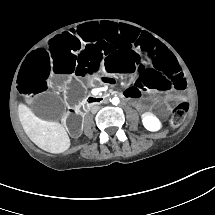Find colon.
<instances>
[{
  "instance_id": "colon-1",
  "label": "colon",
  "mask_w": 215,
  "mask_h": 215,
  "mask_svg": "<svg viewBox=\"0 0 215 215\" xmlns=\"http://www.w3.org/2000/svg\"><path fill=\"white\" fill-rule=\"evenodd\" d=\"M189 110V103L188 102H182L178 104L172 112L171 116V125L173 127H178L182 124L184 121V118Z\"/></svg>"
}]
</instances>
